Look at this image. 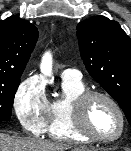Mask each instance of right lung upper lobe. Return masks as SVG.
Instances as JSON below:
<instances>
[{
	"label": "right lung upper lobe",
	"mask_w": 131,
	"mask_h": 151,
	"mask_svg": "<svg viewBox=\"0 0 131 151\" xmlns=\"http://www.w3.org/2000/svg\"><path fill=\"white\" fill-rule=\"evenodd\" d=\"M38 39L37 28L17 16L0 20V75L22 74Z\"/></svg>",
	"instance_id": "1"
}]
</instances>
